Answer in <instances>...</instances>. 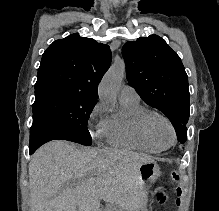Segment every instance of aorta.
<instances>
[{"mask_svg":"<svg viewBox=\"0 0 219 211\" xmlns=\"http://www.w3.org/2000/svg\"><path fill=\"white\" fill-rule=\"evenodd\" d=\"M125 76V65L120 59L114 61L99 85V96L105 102L116 100L121 82Z\"/></svg>","mask_w":219,"mask_h":211,"instance_id":"1","label":"aorta"}]
</instances>
